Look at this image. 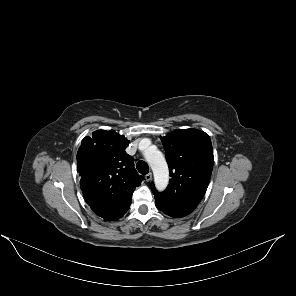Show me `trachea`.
Returning <instances> with one entry per match:
<instances>
[{
    "instance_id": "1",
    "label": "trachea",
    "mask_w": 296,
    "mask_h": 296,
    "mask_svg": "<svg viewBox=\"0 0 296 296\" xmlns=\"http://www.w3.org/2000/svg\"><path fill=\"white\" fill-rule=\"evenodd\" d=\"M136 168L141 174H147L149 172V167H148L147 163L142 160L137 162Z\"/></svg>"
}]
</instances>
